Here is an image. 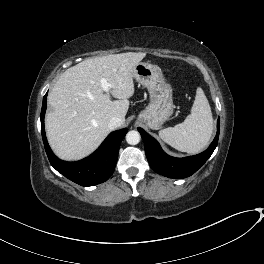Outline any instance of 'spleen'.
Returning <instances> with one entry per match:
<instances>
[{
	"mask_svg": "<svg viewBox=\"0 0 264 264\" xmlns=\"http://www.w3.org/2000/svg\"><path fill=\"white\" fill-rule=\"evenodd\" d=\"M212 132L211 108L204 91L198 87L191 114L183 123L160 130L159 137L178 151L195 154L208 145Z\"/></svg>",
	"mask_w": 264,
	"mask_h": 264,
	"instance_id": "3e777b00",
	"label": "spleen"
}]
</instances>
